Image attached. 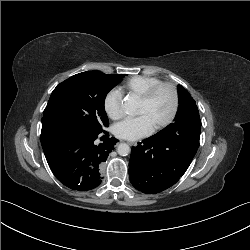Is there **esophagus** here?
I'll return each mask as SVG.
<instances>
[{
    "label": "esophagus",
    "instance_id": "esophagus-1",
    "mask_svg": "<svg viewBox=\"0 0 250 250\" xmlns=\"http://www.w3.org/2000/svg\"><path fill=\"white\" fill-rule=\"evenodd\" d=\"M130 146H135L136 143H132V142H127Z\"/></svg>",
    "mask_w": 250,
    "mask_h": 250
}]
</instances>
